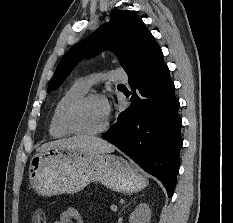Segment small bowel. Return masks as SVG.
Masks as SVG:
<instances>
[{"label":"small bowel","mask_w":233,"mask_h":223,"mask_svg":"<svg viewBox=\"0 0 233 223\" xmlns=\"http://www.w3.org/2000/svg\"><path fill=\"white\" fill-rule=\"evenodd\" d=\"M55 223H84L80 212L74 207H68L59 216Z\"/></svg>","instance_id":"1"}]
</instances>
